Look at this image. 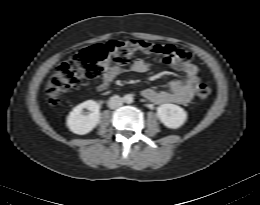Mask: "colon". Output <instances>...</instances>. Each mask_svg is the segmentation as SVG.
Masks as SVG:
<instances>
[{
  "label": "colon",
  "instance_id": "1",
  "mask_svg": "<svg viewBox=\"0 0 260 205\" xmlns=\"http://www.w3.org/2000/svg\"><path fill=\"white\" fill-rule=\"evenodd\" d=\"M137 55L152 56L177 70H182L191 60L187 51L174 45H158L141 40H111L105 44H95L82 49L55 68L45 90L49 103L57 104L65 92L78 87L85 80L99 77L105 61L123 66ZM210 93L211 87L207 82L197 83V98L206 99Z\"/></svg>",
  "mask_w": 260,
  "mask_h": 205
}]
</instances>
